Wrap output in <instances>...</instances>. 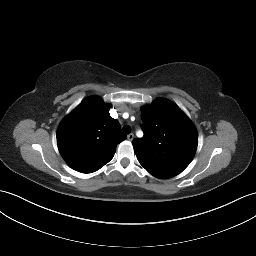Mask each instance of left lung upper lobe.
I'll use <instances>...</instances> for the list:
<instances>
[{
    "instance_id": "1",
    "label": "left lung upper lobe",
    "mask_w": 256,
    "mask_h": 256,
    "mask_svg": "<svg viewBox=\"0 0 256 256\" xmlns=\"http://www.w3.org/2000/svg\"><path fill=\"white\" fill-rule=\"evenodd\" d=\"M141 118L144 136L132 142L140 164L162 179L181 173L197 149L198 135L192 122L165 99L143 107Z\"/></svg>"
}]
</instances>
